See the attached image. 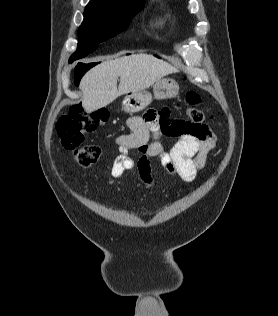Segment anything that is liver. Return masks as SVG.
<instances>
[{
  "mask_svg": "<svg viewBox=\"0 0 278 316\" xmlns=\"http://www.w3.org/2000/svg\"><path fill=\"white\" fill-rule=\"evenodd\" d=\"M176 72L175 67L149 54L103 61L90 69L80 82L83 107L87 112L100 109L120 95L143 91L162 77Z\"/></svg>",
  "mask_w": 278,
  "mask_h": 316,
  "instance_id": "liver-1",
  "label": "liver"
}]
</instances>
